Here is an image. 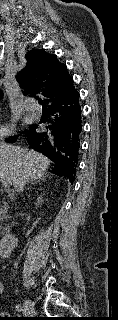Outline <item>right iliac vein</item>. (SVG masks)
I'll return each mask as SVG.
<instances>
[{
	"label": "right iliac vein",
	"instance_id": "63e3f726",
	"mask_svg": "<svg viewBox=\"0 0 118 320\" xmlns=\"http://www.w3.org/2000/svg\"><path fill=\"white\" fill-rule=\"evenodd\" d=\"M24 308L26 313L31 315L34 312V303L30 299H26L24 302Z\"/></svg>",
	"mask_w": 118,
	"mask_h": 320
}]
</instances>
